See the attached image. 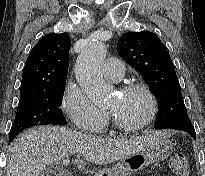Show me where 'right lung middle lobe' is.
<instances>
[{"label":"right lung middle lobe","mask_w":205,"mask_h":176,"mask_svg":"<svg viewBox=\"0 0 205 176\" xmlns=\"http://www.w3.org/2000/svg\"><path fill=\"white\" fill-rule=\"evenodd\" d=\"M64 89L65 83L21 96L9 139L15 138L25 128L36 125H66L59 108Z\"/></svg>","instance_id":"1"}]
</instances>
